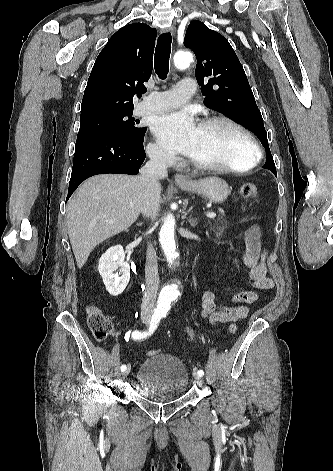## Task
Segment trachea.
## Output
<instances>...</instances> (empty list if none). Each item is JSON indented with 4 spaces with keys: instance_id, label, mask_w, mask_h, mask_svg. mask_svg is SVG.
I'll list each match as a JSON object with an SVG mask.
<instances>
[{
    "instance_id": "obj_1",
    "label": "trachea",
    "mask_w": 333,
    "mask_h": 471,
    "mask_svg": "<svg viewBox=\"0 0 333 471\" xmlns=\"http://www.w3.org/2000/svg\"><path fill=\"white\" fill-rule=\"evenodd\" d=\"M171 33H163L159 36L155 49L154 67L160 79H166L169 72V58L171 53Z\"/></svg>"
}]
</instances>
